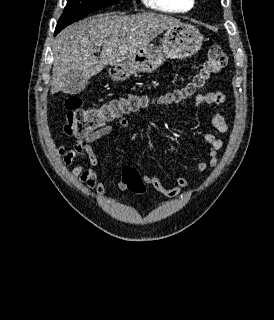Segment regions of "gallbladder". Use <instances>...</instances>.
<instances>
[{
    "label": "gallbladder",
    "mask_w": 274,
    "mask_h": 320,
    "mask_svg": "<svg viewBox=\"0 0 274 320\" xmlns=\"http://www.w3.org/2000/svg\"><path fill=\"white\" fill-rule=\"evenodd\" d=\"M66 78H63V89L65 95H81L82 90H85L89 82L87 80L88 74L84 68H70V72H66Z\"/></svg>",
    "instance_id": "bac80fb5"
}]
</instances>
